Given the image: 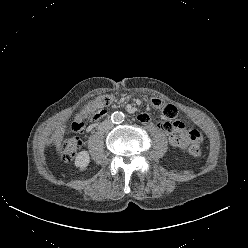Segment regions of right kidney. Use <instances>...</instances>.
Here are the masks:
<instances>
[{
	"label": "right kidney",
	"instance_id": "obj_1",
	"mask_svg": "<svg viewBox=\"0 0 248 248\" xmlns=\"http://www.w3.org/2000/svg\"><path fill=\"white\" fill-rule=\"evenodd\" d=\"M90 162L89 153L85 150L79 152L75 157V166L79 168L80 171H84Z\"/></svg>",
	"mask_w": 248,
	"mask_h": 248
}]
</instances>
